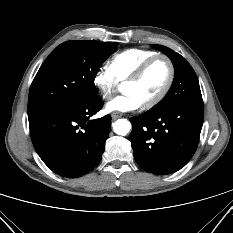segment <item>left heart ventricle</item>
<instances>
[{"mask_svg": "<svg viewBox=\"0 0 233 233\" xmlns=\"http://www.w3.org/2000/svg\"><path fill=\"white\" fill-rule=\"evenodd\" d=\"M168 76V63L164 59H158L147 68L138 82L124 84L122 90L135 94L142 103H146L159 95Z\"/></svg>", "mask_w": 233, "mask_h": 233, "instance_id": "obj_1", "label": "left heart ventricle"}]
</instances>
